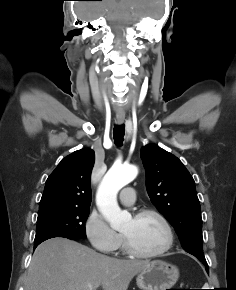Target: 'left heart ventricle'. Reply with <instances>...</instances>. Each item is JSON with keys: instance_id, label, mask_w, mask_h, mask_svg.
<instances>
[{"instance_id": "b2bd125f", "label": "left heart ventricle", "mask_w": 236, "mask_h": 290, "mask_svg": "<svg viewBox=\"0 0 236 290\" xmlns=\"http://www.w3.org/2000/svg\"><path fill=\"white\" fill-rule=\"evenodd\" d=\"M133 245L141 252L150 253L162 248L166 242V232L160 221L154 216L131 218L122 230Z\"/></svg>"}]
</instances>
